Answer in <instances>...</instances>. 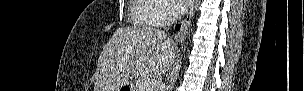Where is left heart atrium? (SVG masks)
Segmentation results:
<instances>
[{
	"instance_id": "1",
	"label": "left heart atrium",
	"mask_w": 304,
	"mask_h": 91,
	"mask_svg": "<svg viewBox=\"0 0 304 91\" xmlns=\"http://www.w3.org/2000/svg\"><path fill=\"white\" fill-rule=\"evenodd\" d=\"M169 3L171 4V7L175 12L182 13V12H185L189 8L191 1L190 0H170Z\"/></svg>"
}]
</instances>
